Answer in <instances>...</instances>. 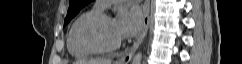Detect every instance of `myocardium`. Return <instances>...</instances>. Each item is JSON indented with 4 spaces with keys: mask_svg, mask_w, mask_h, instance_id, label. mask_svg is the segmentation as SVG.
<instances>
[{
    "mask_svg": "<svg viewBox=\"0 0 242 64\" xmlns=\"http://www.w3.org/2000/svg\"><path fill=\"white\" fill-rule=\"evenodd\" d=\"M107 18H111L110 15L101 12L89 16L81 23L77 30V40L82 47L98 54L111 53L120 47V39L111 45H104L93 34L95 29Z\"/></svg>",
    "mask_w": 242,
    "mask_h": 64,
    "instance_id": "myocardium-1",
    "label": "myocardium"
}]
</instances>
